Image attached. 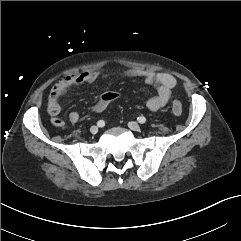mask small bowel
I'll use <instances>...</instances> for the list:
<instances>
[{"label": "small bowel", "mask_w": 241, "mask_h": 241, "mask_svg": "<svg viewBox=\"0 0 241 241\" xmlns=\"http://www.w3.org/2000/svg\"><path fill=\"white\" fill-rule=\"evenodd\" d=\"M122 78H142L148 85L156 89V94L148 99L146 106L151 111H158L169 101L172 90L176 86V78L169 73H157L150 69L136 68L116 75ZM109 75L102 71L92 70L75 73L58 81L51 89L48 99V114L51 117V123L56 127L64 126V121L58 116L61 112L59 99L71 88L80 85L94 83L99 79H106ZM108 93V92H107ZM111 101L104 102L101 97L93 105L92 111L95 113L103 112ZM68 119L71 123H77L80 119L78 112H70Z\"/></svg>", "instance_id": "obj_1"}]
</instances>
